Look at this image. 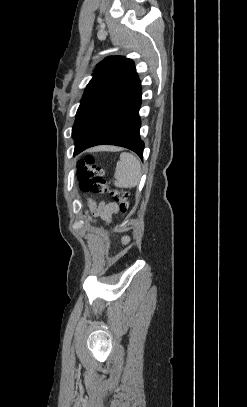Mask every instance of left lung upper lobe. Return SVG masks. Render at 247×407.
<instances>
[{"mask_svg":"<svg viewBox=\"0 0 247 407\" xmlns=\"http://www.w3.org/2000/svg\"><path fill=\"white\" fill-rule=\"evenodd\" d=\"M138 79L131 59L111 56L98 64L85 89L72 128L75 148L105 108Z\"/></svg>","mask_w":247,"mask_h":407,"instance_id":"obj_1","label":"left lung upper lobe"}]
</instances>
